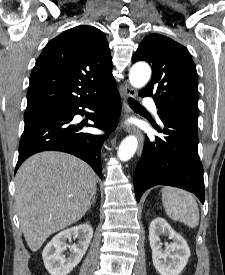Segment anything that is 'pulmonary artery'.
<instances>
[{
    "instance_id": "pulmonary-artery-1",
    "label": "pulmonary artery",
    "mask_w": 225,
    "mask_h": 275,
    "mask_svg": "<svg viewBox=\"0 0 225 275\" xmlns=\"http://www.w3.org/2000/svg\"><path fill=\"white\" fill-rule=\"evenodd\" d=\"M143 105L148 107V108H151L154 112H156V105L154 103V101L151 99V98H145L143 100Z\"/></svg>"
}]
</instances>
